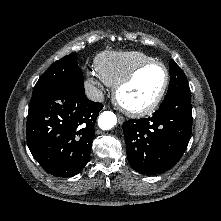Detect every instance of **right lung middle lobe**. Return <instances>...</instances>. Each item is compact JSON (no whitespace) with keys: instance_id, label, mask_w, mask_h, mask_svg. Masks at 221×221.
Returning a JSON list of instances; mask_svg holds the SVG:
<instances>
[{"instance_id":"dd1d6c3e","label":"right lung middle lobe","mask_w":221,"mask_h":221,"mask_svg":"<svg viewBox=\"0 0 221 221\" xmlns=\"http://www.w3.org/2000/svg\"><path fill=\"white\" fill-rule=\"evenodd\" d=\"M75 55H67L54 62L37 81L31 102L60 86H72L84 90L83 74L77 64Z\"/></svg>"}]
</instances>
